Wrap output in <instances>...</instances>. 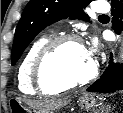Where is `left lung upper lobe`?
Wrapping results in <instances>:
<instances>
[{"label": "left lung upper lobe", "instance_id": "5c2ea615", "mask_svg": "<svg viewBox=\"0 0 123 113\" xmlns=\"http://www.w3.org/2000/svg\"><path fill=\"white\" fill-rule=\"evenodd\" d=\"M90 0H31L25 7L17 25L11 61L14 65L25 48L44 28L70 17L89 20L84 13Z\"/></svg>", "mask_w": 123, "mask_h": 113}]
</instances>
